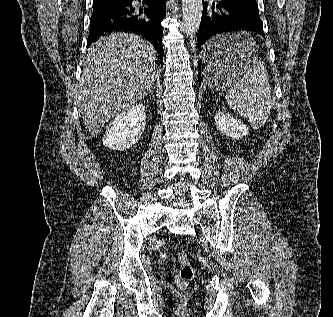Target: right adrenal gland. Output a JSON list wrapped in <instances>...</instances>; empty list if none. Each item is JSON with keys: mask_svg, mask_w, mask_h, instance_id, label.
Wrapping results in <instances>:
<instances>
[{"mask_svg": "<svg viewBox=\"0 0 333 317\" xmlns=\"http://www.w3.org/2000/svg\"><path fill=\"white\" fill-rule=\"evenodd\" d=\"M149 94H151L152 96H154L153 88L150 89Z\"/></svg>", "mask_w": 333, "mask_h": 317, "instance_id": "1", "label": "right adrenal gland"}]
</instances>
